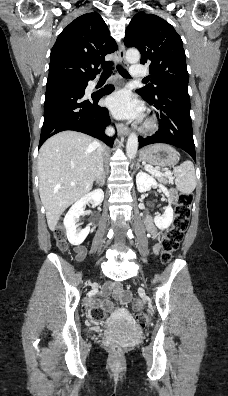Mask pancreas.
<instances>
[{
	"instance_id": "1",
	"label": "pancreas",
	"mask_w": 228,
	"mask_h": 396,
	"mask_svg": "<svg viewBox=\"0 0 228 396\" xmlns=\"http://www.w3.org/2000/svg\"><path fill=\"white\" fill-rule=\"evenodd\" d=\"M152 175L155 176L158 179V181L163 183V184L170 183V181H168L167 178L164 177L163 175H157V174H154V173H152Z\"/></svg>"
}]
</instances>
